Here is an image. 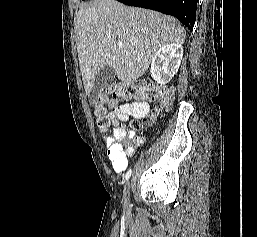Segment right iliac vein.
Instances as JSON below:
<instances>
[{"mask_svg":"<svg viewBox=\"0 0 257 237\" xmlns=\"http://www.w3.org/2000/svg\"><path fill=\"white\" fill-rule=\"evenodd\" d=\"M129 191H130V183L128 182L124 190V195L126 198H128L129 196Z\"/></svg>","mask_w":257,"mask_h":237,"instance_id":"right-iliac-vein-1","label":"right iliac vein"}]
</instances>
